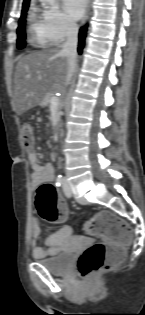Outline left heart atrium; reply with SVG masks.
<instances>
[{"mask_svg":"<svg viewBox=\"0 0 145 315\" xmlns=\"http://www.w3.org/2000/svg\"><path fill=\"white\" fill-rule=\"evenodd\" d=\"M87 0H63V7L72 20H78L82 16Z\"/></svg>","mask_w":145,"mask_h":315,"instance_id":"obj_1","label":"left heart atrium"}]
</instances>
